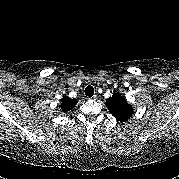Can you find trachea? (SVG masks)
<instances>
[{"label": "trachea", "mask_w": 179, "mask_h": 179, "mask_svg": "<svg viewBox=\"0 0 179 179\" xmlns=\"http://www.w3.org/2000/svg\"><path fill=\"white\" fill-rule=\"evenodd\" d=\"M85 95L88 97H92L94 95V88L93 86L89 85L85 88Z\"/></svg>", "instance_id": "3493384b"}]
</instances>
